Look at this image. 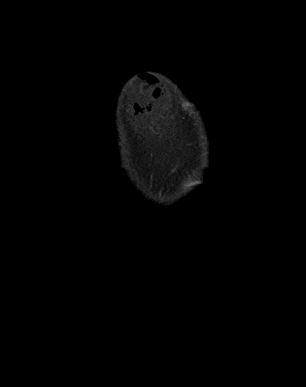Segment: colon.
<instances>
[{"label":"colon","instance_id":"colon-1","mask_svg":"<svg viewBox=\"0 0 306 387\" xmlns=\"http://www.w3.org/2000/svg\"><path fill=\"white\" fill-rule=\"evenodd\" d=\"M154 94L157 95V94H158V91H155Z\"/></svg>","mask_w":306,"mask_h":387}]
</instances>
